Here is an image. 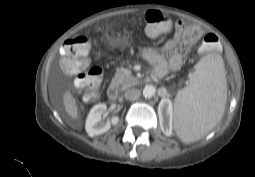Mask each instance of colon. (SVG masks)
<instances>
[{
  "label": "colon",
  "instance_id": "obj_1",
  "mask_svg": "<svg viewBox=\"0 0 255 177\" xmlns=\"http://www.w3.org/2000/svg\"><path fill=\"white\" fill-rule=\"evenodd\" d=\"M171 25V18L158 10H148L145 13V31L150 37H157L169 31ZM217 41L218 38L214 34H207L202 41V49H214ZM90 47L89 35L82 34L68 39L60 50V65L66 74L75 76V86L83 92L84 97L93 101L98 93L102 73L98 67H89Z\"/></svg>",
  "mask_w": 255,
  "mask_h": 177
}]
</instances>
